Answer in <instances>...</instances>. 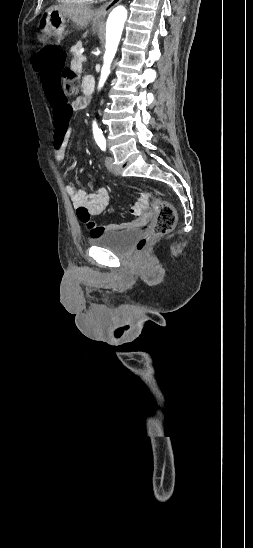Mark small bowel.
Masks as SVG:
<instances>
[{"mask_svg":"<svg viewBox=\"0 0 253 548\" xmlns=\"http://www.w3.org/2000/svg\"><path fill=\"white\" fill-rule=\"evenodd\" d=\"M80 69L81 65L77 61H72L70 63L69 70L74 74H77ZM88 102L89 99L86 96L76 98L70 104L71 114L74 110L84 108ZM51 106L53 108V105ZM56 133H58L57 130L55 131V134ZM69 135L70 132L63 133V140L61 142H56L54 140V158L57 162H62L66 158V147ZM66 191L77 210L79 220L86 225V228L91 236H98L105 232L140 226L147 223L152 216L149 201L142 196L131 207V212L134 215L133 219L122 223H113L100 226L91 219V215H101L107 210L111 203V198L108 191L105 188L98 187L93 193H86L84 190L77 189L72 185H68L66 187Z\"/></svg>","mask_w":253,"mask_h":548,"instance_id":"small-bowel-1","label":"small bowel"}]
</instances>
